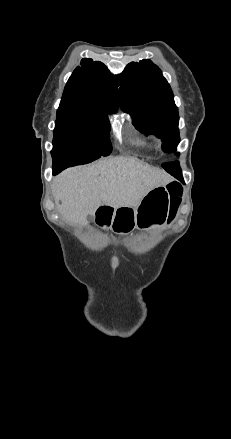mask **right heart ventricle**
I'll list each match as a JSON object with an SVG mask.
<instances>
[{
	"label": "right heart ventricle",
	"mask_w": 231,
	"mask_h": 439,
	"mask_svg": "<svg viewBox=\"0 0 231 439\" xmlns=\"http://www.w3.org/2000/svg\"><path fill=\"white\" fill-rule=\"evenodd\" d=\"M134 143L140 146H151V143L146 139H136Z\"/></svg>",
	"instance_id": "1"
}]
</instances>
